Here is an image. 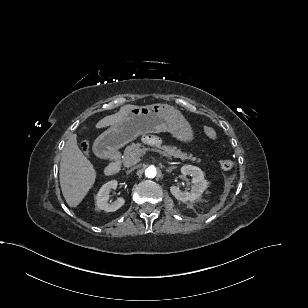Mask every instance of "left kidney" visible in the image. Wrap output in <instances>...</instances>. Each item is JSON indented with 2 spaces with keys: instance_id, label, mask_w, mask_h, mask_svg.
<instances>
[{
  "instance_id": "1",
  "label": "left kidney",
  "mask_w": 308,
  "mask_h": 308,
  "mask_svg": "<svg viewBox=\"0 0 308 308\" xmlns=\"http://www.w3.org/2000/svg\"><path fill=\"white\" fill-rule=\"evenodd\" d=\"M182 175H190L192 176V186L190 192H182L179 187L177 186H171L170 192L171 194L179 201L185 203L188 201H195L207 188V181L204 178L203 171L192 165H184L181 168Z\"/></svg>"
}]
</instances>
